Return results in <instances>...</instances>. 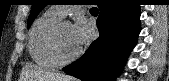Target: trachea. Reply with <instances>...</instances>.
Returning <instances> with one entry per match:
<instances>
[{
  "label": "trachea",
  "mask_w": 169,
  "mask_h": 81,
  "mask_svg": "<svg viewBox=\"0 0 169 81\" xmlns=\"http://www.w3.org/2000/svg\"><path fill=\"white\" fill-rule=\"evenodd\" d=\"M92 11H98L96 7L91 8Z\"/></svg>",
  "instance_id": "obj_1"
}]
</instances>
